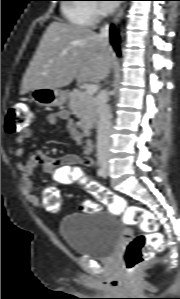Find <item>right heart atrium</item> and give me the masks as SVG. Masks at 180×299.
<instances>
[{"label": "right heart atrium", "mask_w": 180, "mask_h": 299, "mask_svg": "<svg viewBox=\"0 0 180 299\" xmlns=\"http://www.w3.org/2000/svg\"><path fill=\"white\" fill-rule=\"evenodd\" d=\"M90 9H91V12H92L94 18L101 15V11H100L98 5H91Z\"/></svg>", "instance_id": "d8ad5b80"}]
</instances>
